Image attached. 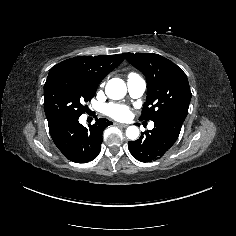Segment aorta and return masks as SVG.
Here are the masks:
<instances>
[{"mask_svg": "<svg viewBox=\"0 0 236 236\" xmlns=\"http://www.w3.org/2000/svg\"><path fill=\"white\" fill-rule=\"evenodd\" d=\"M125 89V90H124ZM105 92L107 96L111 99L114 98V95L116 96H123L124 93H126V85L123 80L119 78H112L108 81ZM140 131L137 126H129L126 129V136L130 140H136L139 137Z\"/></svg>", "mask_w": 236, "mask_h": 236, "instance_id": "obj_1", "label": "aorta"}]
</instances>
